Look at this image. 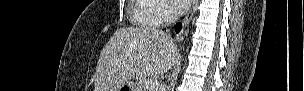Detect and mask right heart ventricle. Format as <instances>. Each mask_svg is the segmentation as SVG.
<instances>
[{
	"label": "right heart ventricle",
	"instance_id": "right-heart-ventricle-1",
	"mask_svg": "<svg viewBox=\"0 0 304 91\" xmlns=\"http://www.w3.org/2000/svg\"><path fill=\"white\" fill-rule=\"evenodd\" d=\"M155 9L156 6L150 0H133L130 8L132 21L144 27L156 25L152 20Z\"/></svg>",
	"mask_w": 304,
	"mask_h": 91
}]
</instances>
